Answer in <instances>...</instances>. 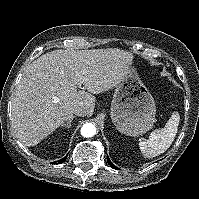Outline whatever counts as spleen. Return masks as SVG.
Masks as SVG:
<instances>
[{
    "label": "spleen",
    "instance_id": "3e777b00",
    "mask_svg": "<svg viewBox=\"0 0 199 199\" xmlns=\"http://www.w3.org/2000/svg\"><path fill=\"white\" fill-rule=\"evenodd\" d=\"M180 116L177 111L173 112L164 128L154 130L148 139L141 141L139 147L145 158H153L164 153L174 141Z\"/></svg>",
    "mask_w": 199,
    "mask_h": 199
}]
</instances>
